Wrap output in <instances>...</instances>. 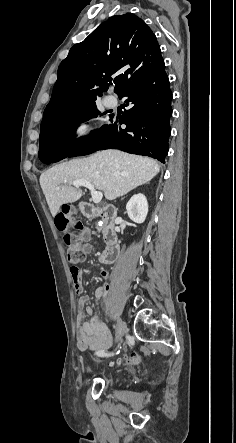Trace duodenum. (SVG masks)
<instances>
[{
  "instance_id": "1",
  "label": "duodenum",
  "mask_w": 236,
  "mask_h": 443,
  "mask_svg": "<svg viewBox=\"0 0 236 443\" xmlns=\"http://www.w3.org/2000/svg\"><path fill=\"white\" fill-rule=\"evenodd\" d=\"M81 212L85 218L103 219L102 232L107 246L101 253L100 259L104 264H113L119 253V236L114 222L119 214L118 208L111 205L97 207L95 204L87 201L81 205Z\"/></svg>"
}]
</instances>
